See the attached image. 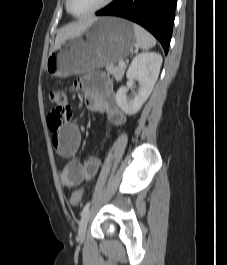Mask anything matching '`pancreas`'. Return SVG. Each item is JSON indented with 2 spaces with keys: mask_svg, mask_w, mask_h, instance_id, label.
<instances>
[{
  "mask_svg": "<svg viewBox=\"0 0 227 265\" xmlns=\"http://www.w3.org/2000/svg\"><path fill=\"white\" fill-rule=\"evenodd\" d=\"M106 69L117 80H120V79H122V77L124 75L126 67L125 66L124 67H120V66L117 67V66L109 64L106 66Z\"/></svg>",
  "mask_w": 227,
  "mask_h": 265,
  "instance_id": "obj_1",
  "label": "pancreas"
}]
</instances>
